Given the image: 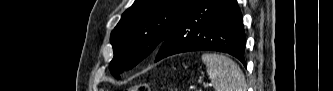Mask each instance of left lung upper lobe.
Wrapping results in <instances>:
<instances>
[{"instance_id":"obj_1","label":"left lung upper lobe","mask_w":333,"mask_h":91,"mask_svg":"<svg viewBox=\"0 0 333 91\" xmlns=\"http://www.w3.org/2000/svg\"><path fill=\"white\" fill-rule=\"evenodd\" d=\"M198 0H135L111 33V74L129 70L158 49Z\"/></svg>"}]
</instances>
